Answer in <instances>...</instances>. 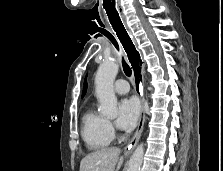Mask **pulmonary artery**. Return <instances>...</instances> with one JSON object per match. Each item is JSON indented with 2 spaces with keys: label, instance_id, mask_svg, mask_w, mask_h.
Here are the masks:
<instances>
[{
  "label": "pulmonary artery",
  "instance_id": "obj_1",
  "mask_svg": "<svg viewBox=\"0 0 223 171\" xmlns=\"http://www.w3.org/2000/svg\"><path fill=\"white\" fill-rule=\"evenodd\" d=\"M114 91L117 94H126L129 91V84L124 79H118L114 84Z\"/></svg>",
  "mask_w": 223,
  "mask_h": 171
}]
</instances>
